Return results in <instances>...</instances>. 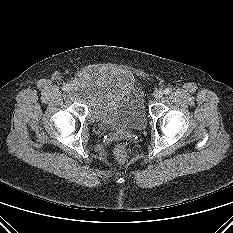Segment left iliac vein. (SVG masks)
<instances>
[{
    "label": "left iliac vein",
    "instance_id": "left-iliac-vein-1",
    "mask_svg": "<svg viewBox=\"0 0 233 233\" xmlns=\"http://www.w3.org/2000/svg\"><path fill=\"white\" fill-rule=\"evenodd\" d=\"M154 97L156 99H161L163 97V91L162 90H157L155 93H154Z\"/></svg>",
    "mask_w": 233,
    "mask_h": 233
}]
</instances>
